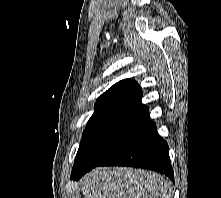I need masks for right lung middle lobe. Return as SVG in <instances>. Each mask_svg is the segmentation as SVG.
<instances>
[{
  "instance_id": "right-lung-middle-lobe-1",
  "label": "right lung middle lobe",
  "mask_w": 221,
  "mask_h": 198,
  "mask_svg": "<svg viewBox=\"0 0 221 198\" xmlns=\"http://www.w3.org/2000/svg\"><path fill=\"white\" fill-rule=\"evenodd\" d=\"M144 123L101 121L88 124L75 157L71 178L76 179L133 137Z\"/></svg>"
}]
</instances>
